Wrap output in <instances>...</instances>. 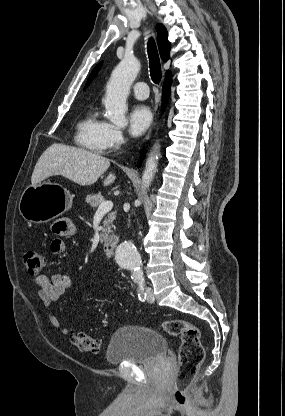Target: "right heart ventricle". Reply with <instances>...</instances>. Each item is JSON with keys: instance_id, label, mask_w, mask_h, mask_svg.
<instances>
[{"instance_id": "obj_1", "label": "right heart ventricle", "mask_w": 285, "mask_h": 416, "mask_svg": "<svg viewBox=\"0 0 285 416\" xmlns=\"http://www.w3.org/2000/svg\"><path fill=\"white\" fill-rule=\"evenodd\" d=\"M107 127L108 123L96 109L88 110L77 126L76 143L91 152L100 153Z\"/></svg>"}]
</instances>
